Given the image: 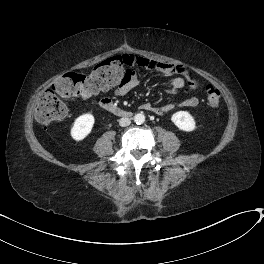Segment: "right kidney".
Returning a JSON list of instances; mask_svg holds the SVG:
<instances>
[{"mask_svg": "<svg viewBox=\"0 0 264 264\" xmlns=\"http://www.w3.org/2000/svg\"><path fill=\"white\" fill-rule=\"evenodd\" d=\"M94 122V116L90 113L79 116L78 118H76L73 127L71 128V137L76 141L83 140L90 134Z\"/></svg>", "mask_w": 264, "mask_h": 264, "instance_id": "obj_1", "label": "right kidney"}]
</instances>
